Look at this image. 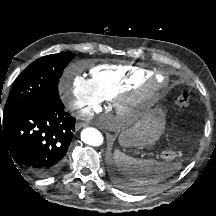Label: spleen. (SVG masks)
I'll list each match as a JSON object with an SVG mask.
<instances>
[{"mask_svg": "<svg viewBox=\"0 0 216 216\" xmlns=\"http://www.w3.org/2000/svg\"><path fill=\"white\" fill-rule=\"evenodd\" d=\"M114 160L119 170L126 174L138 188L157 184L174 174V169L169 168L165 162L136 159L119 150H115Z\"/></svg>", "mask_w": 216, "mask_h": 216, "instance_id": "obj_1", "label": "spleen"}]
</instances>
